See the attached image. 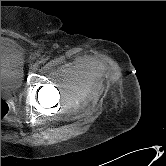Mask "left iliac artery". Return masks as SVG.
<instances>
[{
	"instance_id": "left-iliac-artery-1",
	"label": "left iliac artery",
	"mask_w": 166,
	"mask_h": 166,
	"mask_svg": "<svg viewBox=\"0 0 166 166\" xmlns=\"http://www.w3.org/2000/svg\"><path fill=\"white\" fill-rule=\"evenodd\" d=\"M46 62V59H41L39 63L44 64Z\"/></svg>"
}]
</instances>
